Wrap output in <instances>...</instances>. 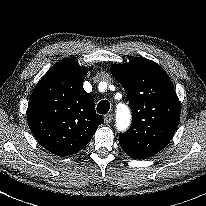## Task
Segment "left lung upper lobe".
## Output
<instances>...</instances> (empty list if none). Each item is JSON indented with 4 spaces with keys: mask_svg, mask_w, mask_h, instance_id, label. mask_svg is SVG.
Listing matches in <instances>:
<instances>
[{
    "mask_svg": "<svg viewBox=\"0 0 206 206\" xmlns=\"http://www.w3.org/2000/svg\"><path fill=\"white\" fill-rule=\"evenodd\" d=\"M133 110L131 128L119 135L123 149L145 157L167 146L180 120V102L167 73L155 62L136 58L111 67Z\"/></svg>",
    "mask_w": 206,
    "mask_h": 206,
    "instance_id": "1",
    "label": "left lung upper lobe"
}]
</instances>
